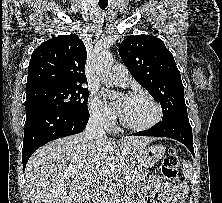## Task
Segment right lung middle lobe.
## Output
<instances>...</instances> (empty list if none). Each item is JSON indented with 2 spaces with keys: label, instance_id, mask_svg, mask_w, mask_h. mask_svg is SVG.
Here are the masks:
<instances>
[{
  "label": "right lung middle lobe",
  "instance_id": "dd1d6c3e",
  "mask_svg": "<svg viewBox=\"0 0 222 203\" xmlns=\"http://www.w3.org/2000/svg\"><path fill=\"white\" fill-rule=\"evenodd\" d=\"M26 96V113L40 108L87 110L88 89L81 85H58L32 89Z\"/></svg>",
  "mask_w": 222,
  "mask_h": 203
}]
</instances>
